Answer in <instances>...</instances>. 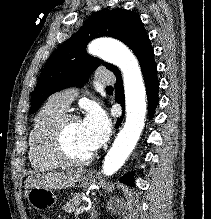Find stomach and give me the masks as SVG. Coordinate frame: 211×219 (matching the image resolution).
Listing matches in <instances>:
<instances>
[{
	"label": "stomach",
	"instance_id": "1",
	"mask_svg": "<svg viewBox=\"0 0 211 219\" xmlns=\"http://www.w3.org/2000/svg\"><path fill=\"white\" fill-rule=\"evenodd\" d=\"M79 182L81 187L88 188L94 185L96 180L92 174H86L81 177ZM26 197L29 204L39 210L50 209L57 202L54 192L44 188H31L28 190Z\"/></svg>",
	"mask_w": 211,
	"mask_h": 219
}]
</instances>
